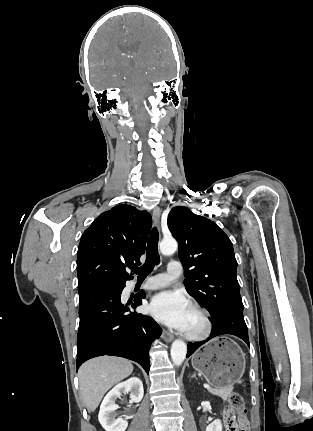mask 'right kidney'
<instances>
[{
  "instance_id": "obj_1",
  "label": "right kidney",
  "mask_w": 313,
  "mask_h": 431,
  "mask_svg": "<svg viewBox=\"0 0 313 431\" xmlns=\"http://www.w3.org/2000/svg\"><path fill=\"white\" fill-rule=\"evenodd\" d=\"M122 392H130V402H140L144 395L142 381L137 377H132L117 384L105 396L100 406L98 419L106 431H125L128 426V422L122 417L116 418L117 413L115 411L119 406L115 404V400L121 396Z\"/></svg>"
}]
</instances>
